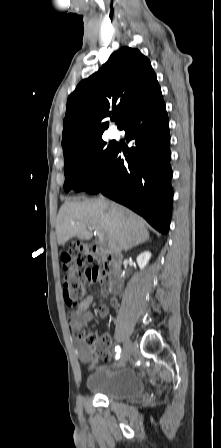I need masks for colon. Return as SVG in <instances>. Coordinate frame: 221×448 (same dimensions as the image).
<instances>
[{
  "label": "colon",
  "mask_w": 221,
  "mask_h": 448,
  "mask_svg": "<svg viewBox=\"0 0 221 448\" xmlns=\"http://www.w3.org/2000/svg\"><path fill=\"white\" fill-rule=\"evenodd\" d=\"M63 264V293L67 306L77 308L86 296L87 286L98 283L106 276V272L98 266V254L95 247L85 248L75 245L62 252ZM88 344H96L104 349L108 344L107 338L98 339L93 333L83 336ZM104 361L107 355L102 354Z\"/></svg>",
  "instance_id": "obj_1"
}]
</instances>
